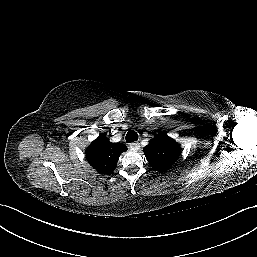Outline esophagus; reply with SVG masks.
I'll list each match as a JSON object with an SVG mask.
<instances>
[{
    "mask_svg": "<svg viewBox=\"0 0 257 257\" xmlns=\"http://www.w3.org/2000/svg\"><path fill=\"white\" fill-rule=\"evenodd\" d=\"M129 147H130L131 150H138L140 148V144L136 143V142H133V143L129 144Z\"/></svg>",
    "mask_w": 257,
    "mask_h": 257,
    "instance_id": "obj_1",
    "label": "esophagus"
}]
</instances>
